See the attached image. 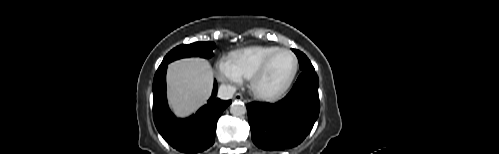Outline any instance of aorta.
<instances>
[{
	"mask_svg": "<svg viewBox=\"0 0 499 154\" xmlns=\"http://www.w3.org/2000/svg\"><path fill=\"white\" fill-rule=\"evenodd\" d=\"M230 113L234 116H242L246 113V106L241 101H235L230 105Z\"/></svg>",
	"mask_w": 499,
	"mask_h": 154,
	"instance_id": "obj_1",
	"label": "aorta"
}]
</instances>
